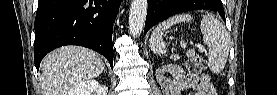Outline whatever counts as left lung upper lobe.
Wrapping results in <instances>:
<instances>
[{
    "mask_svg": "<svg viewBox=\"0 0 277 95\" xmlns=\"http://www.w3.org/2000/svg\"><path fill=\"white\" fill-rule=\"evenodd\" d=\"M201 1L207 4V2L204 0H182V2L187 5H195V6H197L199 3H202Z\"/></svg>",
    "mask_w": 277,
    "mask_h": 95,
    "instance_id": "1",
    "label": "left lung upper lobe"
}]
</instances>
